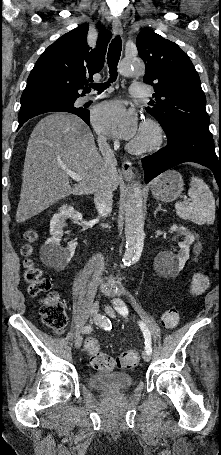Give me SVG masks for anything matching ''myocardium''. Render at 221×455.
I'll use <instances>...</instances> for the list:
<instances>
[{
	"instance_id": "f54148a6",
	"label": "myocardium",
	"mask_w": 221,
	"mask_h": 455,
	"mask_svg": "<svg viewBox=\"0 0 221 455\" xmlns=\"http://www.w3.org/2000/svg\"><path fill=\"white\" fill-rule=\"evenodd\" d=\"M138 137L129 142L127 148L133 153H144L158 149L164 141L162 126L153 119H146L142 122Z\"/></svg>"
}]
</instances>
